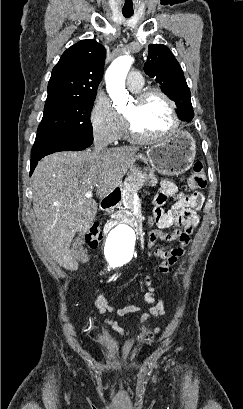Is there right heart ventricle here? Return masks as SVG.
I'll return each instance as SVG.
<instances>
[{"mask_svg": "<svg viewBox=\"0 0 243 409\" xmlns=\"http://www.w3.org/2000/svg\"><path fill=\"white\" fill-rule=\"evenodd\" d=\"M140 90V88L139 89H137V90H132V91H134V92H138Z\"/></svg>", "mask_w": 243, "mask_h": 409, "instance_id": "obj_1", "label": "right heart ventricle"}]
</instances>
